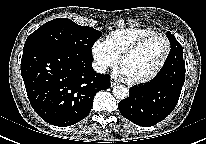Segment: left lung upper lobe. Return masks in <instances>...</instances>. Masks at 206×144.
Returning <instances> with one entry per match:
<instances>
[{"label": "left lung upper lobe", "mask_w": 206, "mask_h": 144, "mask_svg": "<svg viewBox=\"0 0 206 144\" xmlns=\"http://www.w3.org/2000/svg\"><path fill=\"white\" fill-rule=\"evenodd\" d=\"M167 37L171 44L170 54L164 64V66L174 63L185 64L183 60V48L176 38L168 31Z\"/></svg>", "instance_id": "1"}]
</instances>
